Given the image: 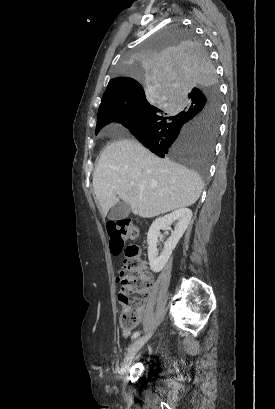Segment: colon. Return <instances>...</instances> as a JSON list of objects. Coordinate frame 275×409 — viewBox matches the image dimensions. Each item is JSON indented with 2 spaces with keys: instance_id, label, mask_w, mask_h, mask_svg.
<instances>
[{
  "instance_id": "5ec220e1",
  "label": "colon",
  "mask_w": 275,
  "mask_h": 409,
  "mask_svg": "<svg viewBox=\"0 0 275 409\" xmlns=\"http://www.w3.org/2000/svg\"><path fill=\"white\" fill-rule=\"evenodd\" d=\"M109 248L112 253L127 251L121 272V291L118 295L122 312L117 325L123 330H134L138 325L143 308V293L150 292L154 282L145 270L141 258L143 248L140 244L130 243L139 237L137 224L130 220L113 221L107 226Z\"/></svg>"
}]
</instances>
